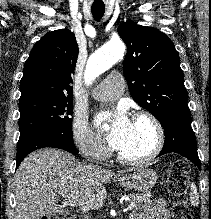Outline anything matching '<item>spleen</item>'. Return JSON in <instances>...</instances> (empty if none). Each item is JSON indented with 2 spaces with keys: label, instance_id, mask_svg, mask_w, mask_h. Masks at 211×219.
<instances>
[{
  "label": "spleen",
  "instance_id": "obj_1",
  "mask_svg": "<svg viewBox=\"0 0 211 219\" xmlns=\"http://www.w3.org/2000/svg\"><path fill=\"white\" fill-rule=\"evenodd\" d=\"M190 202L193 206H198L199 204V194L197 192V187L194 183L191 184Z\"/></svg>",
  "mask_w": 211,
  "mask_h": 219
}]
</instances>
